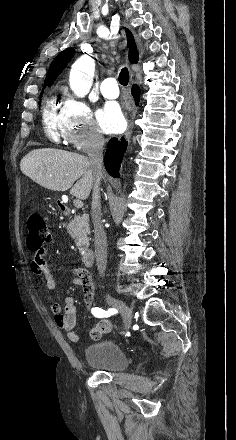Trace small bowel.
<instances>
[{
  "mask_svg": "<svg viewBox=\"0 0 236 440\" xmlns=\"http://www.w3.org/2000/svg\"><path fill=\"white\" fill-rule=\"evenodd\" d=\"M33 259L30 264V270L34 275L43 276L45 278L46 287L53 291L61 283V280L54 277L50 271L47 262L45 261L46 248L34 250ZM73 283L82 287L84 294V303L89 308L94 302V284L88 271L83 268H76L74 270ZM51 312L54 317V322L61 330L67 333V337L71 342L79 340V334L75 330L77 321V310L74 299L67 296L63 305L53 303L51 305ZM112 323L110 320H101L94 325L90 330V338L98 340L103 333H110Z\"/></svg>",
  "mask_w": 236,
  "mask_h": 440,
  "instance_id": "c3829d8e",
  "label": "small bowel"
}]
</instances>
